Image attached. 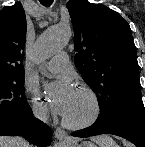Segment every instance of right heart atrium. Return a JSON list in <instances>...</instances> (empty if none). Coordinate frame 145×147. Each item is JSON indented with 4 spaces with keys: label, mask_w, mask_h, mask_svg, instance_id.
Wrapping results in <instances>:
<instances>
[{
    "label": "right heart atrium",
    "mask_w": 145,
    "mask_h": 147,
    "mask_svg": "<svg viewBox=\"0 0 145 147\" xmlns=\"http://www.w3.org/2000/svg\"><path fill=\"white\" fill-rule=\"evenodd\" d=\"M31 111L35 119L44 121L47 118L48 111L43 102L39 100L35 92L30 94Z\"/></svg>",
    "instance_id": "1"
}]
</instances>
